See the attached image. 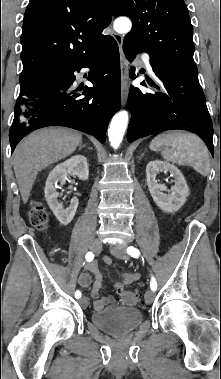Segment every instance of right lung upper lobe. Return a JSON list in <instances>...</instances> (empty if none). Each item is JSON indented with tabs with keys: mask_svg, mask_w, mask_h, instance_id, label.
I'll list each match as a JSON object with an SVG mask.
<instances>
[{
	"mask_svg": "<svg viewBox=\"0 0 221 379\" xmlns=\"http://www.w3.org/2000/svg\"><path fill=\"white\" fill-rule=\"evenodd\" d=\"M111 0H30L21 36L23 81L43 70L80 60L110 36Z\"/></svg>",
	"mask_w": 221,
	"mask_h": 379,
	"instance_id": "1",
	"label": "right lung upper lobe"
}]
</instances>
